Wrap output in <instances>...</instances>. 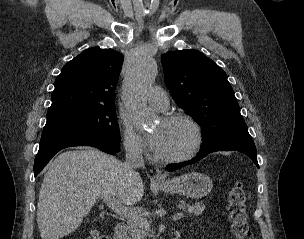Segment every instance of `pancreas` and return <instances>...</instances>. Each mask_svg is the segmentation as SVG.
<instances>
[{
	"mask_svg": "<svg viewBox=\"0 0 304 239\" xmlns=\"http://www.w3.org/2000/svg\"><path fill=\"white\" fill-rule=\"evenodd\" d=\"M179 207L182 210L187 211L190 216H198L202 214L205 209L202 202L195 205H189L183 202L179 205ZM128 229L130 239H147V237H153L150 224L143 215H140L136 221H128Z\"/></svg>",
	"mask_w": 304,
	"mask_h": 239,
	"instance_id": "cf45deb5",
	"label": "pancreas"
}]
</instances>
